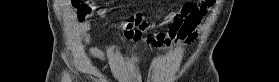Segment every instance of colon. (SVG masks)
Instances as JSON below:
<instances>
[{"instance_id":"colon-1","label":"colon","mask_w":279,"mask_h":82,"mask_svg":"<svg viewBox=\"0 0 279 82\" xmlns=\"http://www.w3.org/2000/svg\"><path fill=\"white\" fill-rule=\"evenodd\" d=\"M211 2H216V0H209ZM133 29H138L142 23V19L139 14H134L130 19L125 21Z\"/></svg>"}]
</instances>
